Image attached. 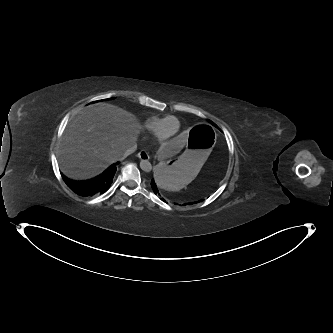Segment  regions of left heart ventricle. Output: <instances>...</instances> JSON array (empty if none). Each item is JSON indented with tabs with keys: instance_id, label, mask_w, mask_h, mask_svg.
<instances>
[{
	"instance_id": "obj_1",
	"label": "left heart ventricle",
	"mask_w": 333,
	"mask_h": 333,
	"mask_svg": "<svg viewBox=\"0 0 333 333\" xmlns=\"http://www.w3.org/2000/svg\"><path fill=\"white\" fill-rule=\"evenodd\" d=\"M177 130V122L174 119H170L167 121L164 128L165 137H171Z\"/></svg>"
}]
</instances>
